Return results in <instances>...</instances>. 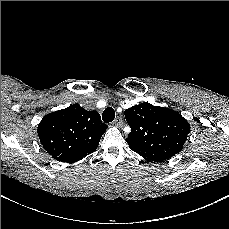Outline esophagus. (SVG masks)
Wrapping results in <instances>:
<instances>
[{"mask_svg": "<svg viewBox=\"0 0 229 229\" xmlns=\"http://www.w3.org/2000/svg\"><path fill=\"white\" fill-rule=\"evenodd\" d=\"M113 124L117 127H121L123 125L122 117L120 116L116 117L115 120L113 121Z\"/></svg>", "mask_w": 229, "mask_h": 229, "instance_id": "obj_1", "label": "esophagus"}]
</instances>
